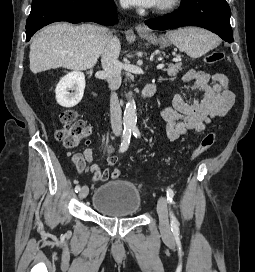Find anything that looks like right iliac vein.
I'll return each instance as SVG.
<instances>
[{"instance_id":"63e3f726","label":"right iliac vein","mask_w":255,"mask_h":272,"mask_svg":"<svg viewBox=\"0 0 255 272\" xmlns=\"http://www.w3.org/2000/svg\"><path fill=\"white\" fill-rule=\"evenodd\" d=\"M88 192H89V188L87 186H83L79 192V199L86 198V196L88 195Z\"/></svg>"}]
</instances>
